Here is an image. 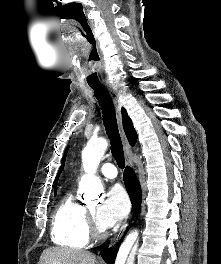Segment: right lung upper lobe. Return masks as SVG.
<instances>
[{
	"label": "right lung upper lobe",
	"instance_id": "right-lung-upper-lobe-1",
	"mask_svg": "<svg viewBox=\"0 0 221 264\" xmlns=\"http://www.w3.org/2000/svg\"><path fill=\"white\" fill-rule=\"evenodd\" d=\"M122 120L126 136L129 140V143L133 146L137 141V133L133 127L131 119L128 117L127 112L124 108H122Z\"/></svg>",
	"mask_w": 221,
	"mask_h": 264
}]
</instances>
